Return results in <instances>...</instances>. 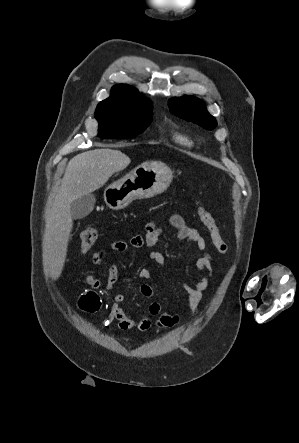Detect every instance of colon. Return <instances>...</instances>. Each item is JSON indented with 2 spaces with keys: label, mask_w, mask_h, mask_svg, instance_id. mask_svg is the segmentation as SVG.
<instances>
[{
  "label": "colon",
  "mask_w": 299,
  "mask_h": 443,
  "mask_svg": "<svg viewBox=\"0 0 299 443\" xmlns=\"http://www.w3.org/2000/svg\"><path fill=\"white\" fill-rule=\"evenodd\" d=\"M197 214L204 227L208 230L215 248L220 253L226 254L228 252V246L221 236L214 216L202 206L197 207ZM98 234V229L94 226L87 227L81 232V250L83 253L88 252L94 246Z\"/></svg>",
  "instance_id": "5ec220e1"
}]
</instances>
